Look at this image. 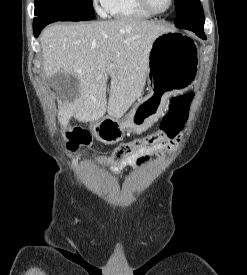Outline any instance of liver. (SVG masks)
Instances as JSON below:
<instances>
[{
    "mask_svg": "<svg viewBox=\"0 0 247 275\" xmlns=\"http://www.w3.org/2000/svg\"><path fill=\"white\" fill-rule=\"evenodd\" d=\"M169 28L138 18L56 24L40 37L44 74H71L79 81L78 93L58 100L62 127L71 117L92 122L109 116L120 119L142 92L152 42ZM111 78L107 100L106 88Z\"/></svg>",
    "mask_w": 247,
    "mask_h": 275,
    "instance_id": "6515ba94",
    "label": "liver"
}]
</instances>
